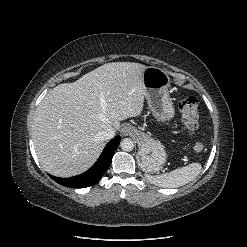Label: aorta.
Returning <instances> with one entry per match:
<instances>
[{"mask_svg":"<svg viewBox=\"0 0 247 247\" xmlns=\"http://www.w3.org/2000/svg\"><path fill=\"white\" fill-rule=\"evenodd\" d=\"M120 147L123 151H132L134 148V142L130 138H124L120 142Z\"/></svg>","mask_w":247,"mask_h":247,"instance_id":"aorta-1","label":"aorta"}]
</instances>
